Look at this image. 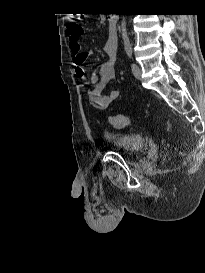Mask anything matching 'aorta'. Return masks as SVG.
<instances>
[{
	"instance_id": "1",
	"label": "aorta",
	"mask_w": 205,
	"mask_h": 273,
	"mask_svg": "<svg viewBox=\"0 0 205 273\" xmlns=\"http://www.w3.org/2000/svg\"><path fill=\"white\" fill-rule=\"evenodd\" d=\"M125 26H126V20H125V18H123V19H122V22H121L120 28H121L123 40H124V41H127V40H128V35H127V31H126Z\"/></svg>"
}]
</instances>
